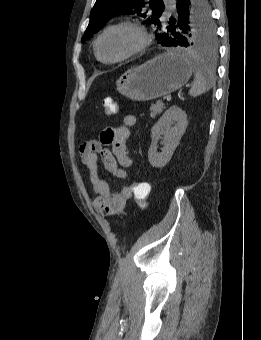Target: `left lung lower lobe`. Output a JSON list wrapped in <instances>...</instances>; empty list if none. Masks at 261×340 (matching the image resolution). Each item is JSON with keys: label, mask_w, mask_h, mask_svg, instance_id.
I'll use <instances>...</instances> for the list:
<instances>
[{"label": "left lung lower lobe", "mask_w": 261, "mask_h": 340, "mask_svg": "<svg viewBox=\"0 0 261 340\" xmlns=\"http://www.w3.org/2000/svg\"><path fill=\"white\" fill-rule=\"evenodd\" d=\"M192 0H177L175 5L177 9V15L175 17H170L168 22L170 23H179V20L182 16H185L188 14L190 8H191ZM208 4V3H207ZM177 40H175V37L169 36L168 38H165L164 45L167 47H177Z\"/></svg>", "instance_id": "obj_1"}]
</instances>
